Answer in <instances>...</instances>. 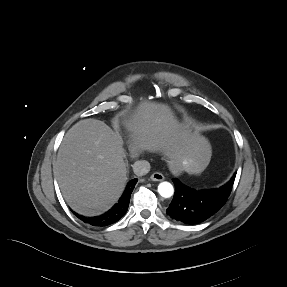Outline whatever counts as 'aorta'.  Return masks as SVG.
<instances>
[{
    "mask_svg": "<svg viewBox=\"0 0 287 287\" xmlns=\"http://www.w3.org/2000/svg\"><path fill=\"white\" fill-rule=\"evenodd\" d=\"M158 193L163 198H170L174 194V188L171 183L164 181L158 185Z\"/></svg>",
    "mask_w": 287,
    "mask_h": 287,
    "instance_id": "aorta-1",
    "label": "aorta"
}]
</instances>
